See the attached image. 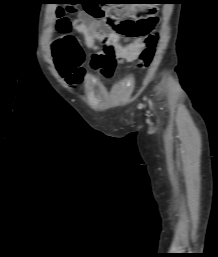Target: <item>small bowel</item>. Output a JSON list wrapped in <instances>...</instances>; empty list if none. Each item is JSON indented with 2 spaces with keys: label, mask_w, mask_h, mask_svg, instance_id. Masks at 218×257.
I'll use <instances>...</instances> for the list:
<instances>
[{
  "label": "small bowel",
  "mask_w": 218,
  "mask_h": 257,
  "mask_svg": "<svg viewBox=\"0 0 218 257\" xmlns=\"http://www.w3.org/2000/svg\"><path fill=\"white\" fill-rule=\"evenodd\" d=\"M120 14H132L135 10H111ZM73 28L83 35L85 45L95 52H88L90 69L101 73L105 78H114L119 73L118 64L132 63L146 48V41L141 38H124L108 22L106 18H96L88 12H80L73 21ZM102 44L103 48H100ZM87 70L79 67L72 73L65 75L66 81L71 84L80 83Z\"/></svg>",
  "instance_id": "small-bowel-1"
}]
</instances>
